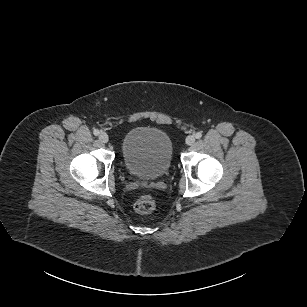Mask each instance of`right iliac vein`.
Wrapping results in <instances>:
<instances>
[{
	"label": "right iliac vein",
	"instance_id": "1",
	"mask_svg": "<svg viewBox=\"0 0 307 307\" xmlns=\"http://www.w3.org/2000/svg\"><path fill=\"white\" fill-rule=\"evenodd\" d=\"M99 140L102 143H107L109 141V137L105 132H101L100 135H99Z\"/></svg>",
	"mask_w": 307,
	"mask_h": 307
}]
</instances>
